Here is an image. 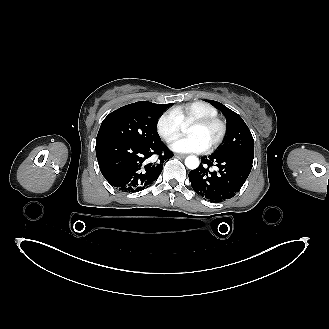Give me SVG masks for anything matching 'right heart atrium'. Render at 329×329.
I'll list each match as a JSON object with an SVG mask.
<instances>
[{
	"instance_id": "d8ad5b80",
	"label": "right heart atrium",
	"mask_w": 329,
	"mask_h": 329,
	"mask_svg": "<svg viewBox=\"0 0 329 329\" xmlns=\"http://www.w3.org/2000/svg\"><path fill=\"white\" fill-rule=\"evenodd\" d=\"M156 131L165 142H171L179 136L181 122L173 110L163 112L158 117L156 121Z\"/></svg>"
}]
</instances>
